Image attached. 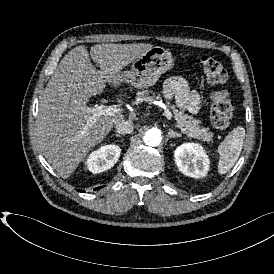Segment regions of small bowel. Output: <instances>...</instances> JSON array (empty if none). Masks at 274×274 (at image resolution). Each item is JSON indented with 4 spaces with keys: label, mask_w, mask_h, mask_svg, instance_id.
Returning <instances> with one entry per match:
<instances>
[{
    "label": "small bowel",
    "mask_w": 274,
    "mask_h": 274,
    "mask_svg": "<svg viewBox=\"0 0 274 274\" xmlns=\"http://www.w3.org/2000/svg\"><path fill=\"white\" fill-rule=\"evenodd\" d=\"M164 93L169 99H173L178 107L190 113H197L200 108V95L196 90L189 88L181 77H171L164 83Z\"/></svg>",
    "instance_id": "1"
}]
</instances>
